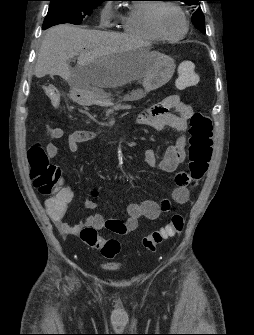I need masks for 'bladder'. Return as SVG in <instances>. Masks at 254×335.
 Listing matches in <instances>:
<instances>
[{
	"label": "bladder",
	"instance_id": "31cf9c89",
	"mask_svg": "<svg viewBox=\"0 0 254 335\" xmlns=\"http://www.w3.org/2000/svg\"><path fill=\"white\" fill-rule=\"evenodd\" d=\"M106 270H109V271H114V270H117L116 268H113V267H105Z\"/></svg>",
	"mask_w": 254,
	"mask_h": 335
}]
</instances>
